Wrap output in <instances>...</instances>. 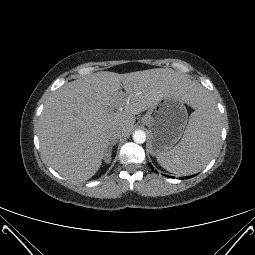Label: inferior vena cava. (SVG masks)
<instances>
[{
	"label": "inferior vena cava",
	"mask_w": 255,
	"mask_h": 255,
	"mask_svg": "<svg viewBox=\"0 0 255 255\" xmlns=\"http://www.w3.org/2000/svg\"><path fill=\"white\" fill-rule=\"evenodd\" d=\"M123 132L119 129H112L108 133V140L109 142L115 143L117 140L121 139L123 137Z\"/></svg>",
	"instance_id": "1"
}]
</instances>
